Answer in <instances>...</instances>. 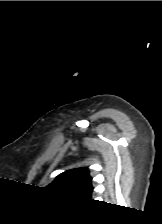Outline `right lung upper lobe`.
Returning <instances> with one entry per match:
<instances>
[{"mask_svg": "<svg viewBox=\"0 0 162 224\" xmlns=\"http://www.w3.org/2000/svg\"><path fill=\"white\" fill-rule=\"evenodd\" d=\"M47 188L84 199H91L93 190L91 177L86 168L72 169L61 173Z\"/></svg>", "mask_w": 162, "mask_h": 224, "instance_id": "cb5924a9", "label": "right lung upper lobe"}]
</instances>
